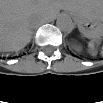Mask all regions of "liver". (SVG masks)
<instances>
[{"label":"liver","instance_id":"1","mask_svg":"<svg viewBox=\"0 0 103 103\" xmlns=\"http://www.w3.org/2000/svg\"><path fill=\"white\" fill-rule=\"evenodd\" d=\"M77 0H1L0 42L2 51H19L31 39L38 21H52L60 10L71 11Z\"/></svg>","mask_w":103,"mask_h":103}]
</instances>
